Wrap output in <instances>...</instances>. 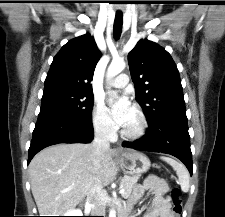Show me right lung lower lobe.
Listing matches in <instances>:
<instances>
[{
	"label": "right lung lower lobe",
	"mask_w": 225,
	"mask_h": 217,
	"mask_svg": "<svg viewBox=\"0 0 225 217\" xmlns=\"http://www.w3.org/2000/svg\"><path fill=\"white\" fill-rule=\"evenodd\" d=\"M91 116L75 119L55 113H39L29 148L28 164L36 153L59 143H89L93 140Z\"/></svg>",
	"instance_id": "obj_1"
}]
</instances>
